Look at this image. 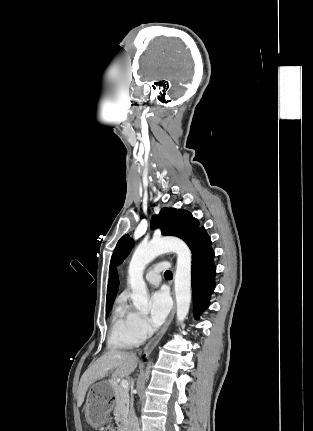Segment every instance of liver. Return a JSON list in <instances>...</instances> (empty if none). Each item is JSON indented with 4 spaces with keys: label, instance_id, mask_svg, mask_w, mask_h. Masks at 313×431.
I'll use <instances>...</instances> for the list:
<instances>
[{
    "label": "liver",
    "instance_id": "obj_1",
    "mask_svg": "<svg viewBox=\"0 0 313 431\" xmlns=\"http://www.w3.org/2000/svg\"><path fill=\"white\" fill-rule=\"evenodd\" d=\"M138 358L132 352L111 350L101 356L84 372L77 391V405L84 402L86 392L91 384L104 378L113 371V379L129 376L137 367Z\"/></svg>",
    "mask_w": 313,
    "mask_h": 431
}]
</instances>
